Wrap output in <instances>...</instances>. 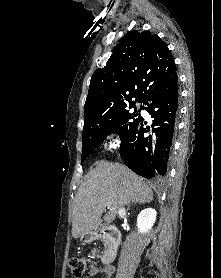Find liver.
<instances>
[{
    "mask_svg": "<svg viewBox=\"0 0 221 278\" xmlns=\"http://www.w3.org/2000/svg\"><path fill=\"white\" fill-rule=\"evenodd\" d=\"M152 200L151 187L128 167L97 161L78 188L72 213V236L79 238L97 230L103 220L112 223L123 205ZM107 204H110L109 211L101 219Z\"/></svg>",
    "mask_w": 221,
    "mask_h": 278,
    "instance_id": "liver-1",
    "label": "liver"
}]
</instances>
